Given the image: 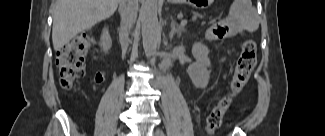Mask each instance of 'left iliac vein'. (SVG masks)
I'll use <instances>...</instances> for the list:
<instances>
[{
	"mask_svg": "<svg viewBox=\"0 0 325 136\" xmlns=\"http://www.w3.org/2000/svg\"><path fill=\"white\" fill-rule=\"evenodd\" d=\"M160 131H161L160 129H155L154 131L155 136H161Z\"/></svg>",
	"mask_w": 325,
	"mask_h": 136,
	"instance_id": "obj_1",
	"label": "left iliac vein"
}]
</instances>
